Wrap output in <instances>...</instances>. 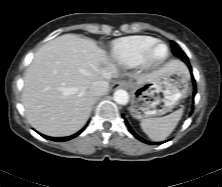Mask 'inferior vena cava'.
<instances>
[{"label":"inferior vena cava","instance_id":"1","mask_svg":"<svg viewBox=\"0 0 222 187\" xmlns=\"http://www.w3.org/2000/svg\"><path fill=\"white\" fill-rule=\"evenodd\" d=\"M109 83L105 80L94 82L90 90L95 96L104 95L108 91Z\"/></svg>","mask_w":222,"mask_h":187}]
</instances>
